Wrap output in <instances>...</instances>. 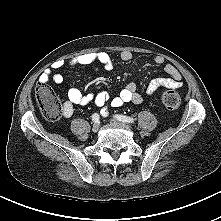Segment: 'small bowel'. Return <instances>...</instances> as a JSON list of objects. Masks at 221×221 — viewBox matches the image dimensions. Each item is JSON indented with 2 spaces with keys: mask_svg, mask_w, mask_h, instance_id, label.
<instances>
[{
  "mask_svg": "<svg viewBox=\"0 0 221 221\" xmlns=\"http://www.w3.org/2000/svg\"><path fill=\"white\" fill-rule=\"evenodd\" d=\"M123 61H130L133 59V54L130 51H122L119 55ZM165 59L162 56L155 57V63L162 65ZM93 63L101 64L106 70L113 68V61L111 55L106 51L87 52L77 55L68 60L67 65L80 66L90 65ZM65 61L59 60L53 64L54 70H59L65 66ZM165 72L169 75L167 78L153 79L147 86L146 92L148 95L154 94L159 88L177 89L182 86V77L178 69L172 64H166L164 68ZM64 77L61 73H52L50 69L44 71L40 77L39 82L48 83L53 81L55 84H61ZM68 99L63 105V115L65 117H71L74 113L75 106H86L90 103H94L101 108V114L107 116L108 106L113 108L122 107L126 103L139 104L143 98L140 93L137 92L136 85L129 83L123 88L117 95L110 96L106 92L83 94L77 88H71L68 91Z\"/></svg>",
  "mask_w": 221,
  "mask_h": 221,
  "instance_id": "1",
  "label": "small bowel"
}]
</instances>
